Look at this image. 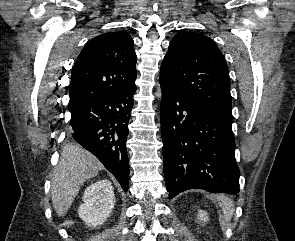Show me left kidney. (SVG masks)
<instances>
[{
	"instance_id": "5707ae66",
	"label": "left kidney",
	"mask_w": 295,
	"mask_h": 241,
	"mask_svg": "<svg viewBox=\"0 0 295 241\" xmlns=\"http://www.w3.org/2000/svg\"><path fill=\"white\" fill-rule=\"evenodd\" d=\"M198 217L203 222H207L209 220L208 214L204 210H199Z\"/></svg>"
}]
</instances>
